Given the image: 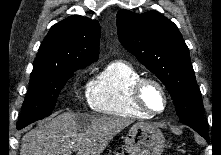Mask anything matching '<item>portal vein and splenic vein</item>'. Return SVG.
<instances>
[{"instance_id":"obj_1","label":"portal vein and splenic vein","mask_w":221,"mask_h":155,"mask_svg":"<svg viewBox=\"0 0 221 155\" xmlns=\"http://www.w3.org/2000/svg\"><path fill=\"white\" fill-rule=\"evenodd\" d=\"M77 149H78V147H75V148H74V150H77Z\"/></svg>"}]
</instances>
